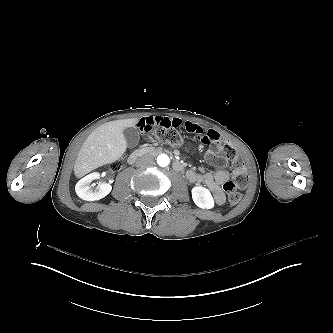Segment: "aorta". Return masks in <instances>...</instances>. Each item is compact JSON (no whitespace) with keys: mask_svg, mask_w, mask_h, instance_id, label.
<instances>
[{"mask_svg":"<svg viewBox=\"0 0 333 333\" xmlns=\"http://www.w3.org/2000/svg\"><path fill=\"white\" fill-rule=\"evenodd\" d=\"M157 163L161 167H166L170 163V159L166 154H161L157 157Z\"/></svg>","mask_w":333,"mask_h":333,"instance_id":"1","label":"aorta"}]
</instances>
